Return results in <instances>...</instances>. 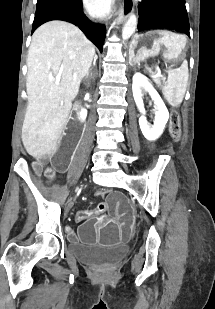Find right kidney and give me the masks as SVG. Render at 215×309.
<instances>
[{
  "mask_svg": "<svg viewBox=\"0 0 215 309\" xmlns=\"http://www.w3.org/2000/svg\"><path fill=\"white\" fill-rule=\"evenodd\" d=\"M78 114H79L81 120H85V118L87 116L86 108H81V110H79Z\"/></svg>",
  "mask_w": 215,
  "mask_h": 309,
  "instance_id": "ca27d5eb",
  "label": "right kidney"
}]
</instances>
